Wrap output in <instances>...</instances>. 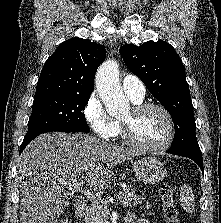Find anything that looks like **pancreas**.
<instances>
[{
  "label": "pancreas",
  "instance_id": "cf45deb5",
  "mask_svg": "<svg viewBox=\"0 0 221 223\" xmlns=\"http://www.w3.org/2000/svg\"><path fill=\"white\" fill-rule=\"evenodd\" d=\"M121 198L122 204L126 207H133L142 202V197L136 194L134 189L129 185L123 189ZM102 201L103 203L92 202L84 219L85 223H108L107 218L109 216V210L106 200ZM145 208L149 209L150 205H146Z\"/></svg>",
  "mask_w": 221,
  "mask_h": 223
}]
</instances>
